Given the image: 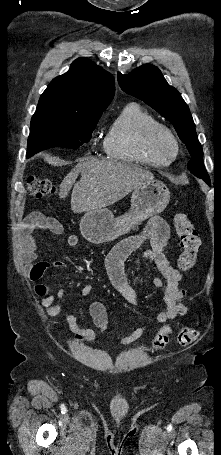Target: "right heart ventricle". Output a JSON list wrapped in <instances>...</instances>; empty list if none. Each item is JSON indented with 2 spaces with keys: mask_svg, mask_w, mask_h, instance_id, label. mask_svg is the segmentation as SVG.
<instances>
[{
  "mask_svg": "<svg viewBox=\"0 0 221 455\" xmlns=\"http://www.w3.org/2000/svg\"><path fill=\"white\" fill-rule=\"evenodd\" d=\"M158 124L152 114L138 103L123 107L103 138V149L112 159L134 164L162 167L168 160L149 143V131Z\"/></svg>",
  "mask_w": 221,
  "mask_h": 455,
  "instance_id": "1",
  "label": "right heart ventricle"
}]
</instances>
